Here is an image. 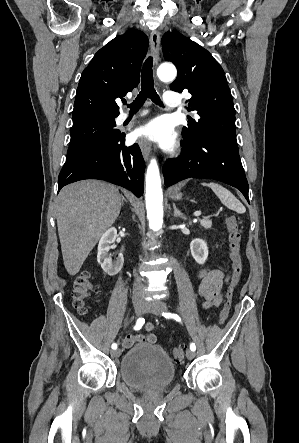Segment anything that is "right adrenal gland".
I'll return each mask as SVG.
<instances>
[{
  "instance_id": "1",
  "label": "right adrenal gland",
  "mask_w": 299,
  "mask_h": 443,
  "mask_svg": "<svg viewBox=\"0 0 299 443\" xmlns=\"http://www.w3.org/2000/svg\"><path fill=\"white\" fill-rule=\"evenodd\" d=\"M124 202H127V200L125 199L124 196H122V206H123Z\"/></svg>"
}]
</instances>
